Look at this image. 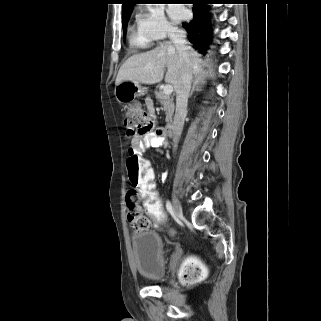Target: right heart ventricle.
<instances>
[{
  "instance_id": "1",
  "label": "right heart ventricle",
  "mask_w": 321,
  "mask_h": 321,
  "mask_svg": "<svg viewBox=\"0 0 321 321\" xmlns=\"http://www.w3.org/2000/svg\"><path fill=\"white\" fill-rule=\"evenodd\" d=\"M129 43L133 48L145 49L151 45L152 40L144 33H142L139 29H136L131 32Z\"/></svg>"
}]
</instances>
